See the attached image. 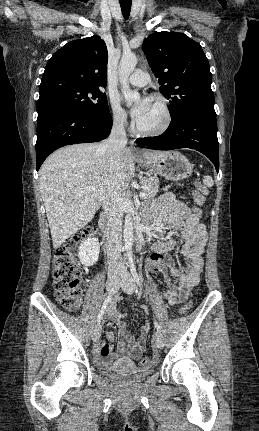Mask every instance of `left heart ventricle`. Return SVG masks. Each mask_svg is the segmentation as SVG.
<instances>
[{"mask_svg": "<svg viewBox=\"0 0 259 431\" xmlns=\"http://www.w3.org/2000/svg\"><path fill=\"white\" fill-rule=\"evenodd\" d=\"M163 122V112L159 104L153 100H150V105L145 115L137 121L139 128L143 130H154L158 128Z\"/></svg>", "mask_w": 259, "mask_h": 431, "instance_id": "obj_1", "label": "left heart ventricle"}]
</instances>
